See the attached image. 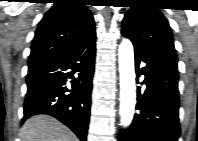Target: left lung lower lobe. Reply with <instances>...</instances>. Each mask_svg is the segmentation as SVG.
I'll list each match as a JSON object with an SVG mask.
<instances>
[{
  "instance_id": "left-lung-lower-lobe-1",
  "label": "left lung lower lobe",
  "mask_w": 198,
  "mask_h": 141,
  "mask_svg": "<svg viewBox=\"0 0 198 141\" xmlns=\"http://www.w3.org/2000/svg\"><path fill=\"white\" fill-rule=\"evenodd\" d=\"M135 66H145V91L137 89L138 103L132 124L122 130L119 141H178V61L171 53H148L135 48ZM140 76V75H138Z\"/></svg>"
}]
</instances>
